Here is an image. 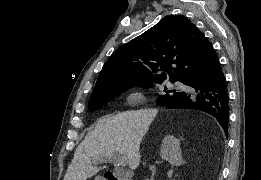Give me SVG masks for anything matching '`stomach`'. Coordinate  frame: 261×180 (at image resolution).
Returning <instances> with one entry per match:
<instances>
[{"label": "stomach", "mask_w": 261, "mask_h": 180, "mask_svg": "<svg viewBox=\"0 0 261 180\" xmlns=\"http://www.w3.org/2000/svg\"><path fill=\"white\" fill-rule=\"evenodd\" d=\"M95 180H104V179L100 176H97V177H95Z\"/></svg>", "instance_id": "0dacf381"}]
</instances>
